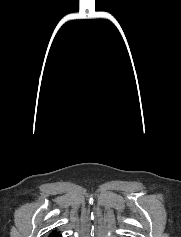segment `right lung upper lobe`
<instances>
[{"mask_svg":"<svg viewBox=\"0 0 181 237\" xmlns=\"http://www.w3.org/2000/svg\"><path fill=\"white\" fill-rule=\"evenodd\" d=\"M54 234H56V231H53L50 235H54Z\"/></svg>","mask_w":181,"mask_h":237,"instance_id":"right-lung-upper-lobe-1","label":"right lung upper lobe"}]
</instances>
